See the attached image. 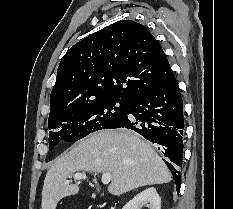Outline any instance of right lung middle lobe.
I'll return each mask as SVG.
<instances>
[{"label":"right lung middle lobe","mask_w":233,"mask_h":209,"mask_svg":"<svg viewBox=\"0 0 233 209\" xmlns=\"http://www.w3.org/2000/svg\"><path fill=\"white\" fill-rule=\"evenodd\" d=\"M128 103L129 100L108 98L50 113L49 150L60 140L75 142L94 131L107 129L120 122L126 114Z\"/></svg>","instance_id":"dd1d6c3e"}]
</instances>
